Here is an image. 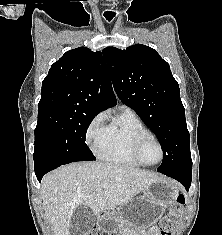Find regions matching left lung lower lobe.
Masks as SVG:
<instances>
[{
	"instance_id": "left-lung-lower-lobe-1",
	"label": "left lung lower lobe",
	"mask_w": 222,
	"mask_h": 235,
	"mask_svg": "<svg viewBox=\"0 0 222 235\" xmlns=\"http://www.w3.org/2000/svg\"><path fill=\"white\" fill-rule=\"evenodd\" d=\"M160 173L179 181L181 184L184 185L187 191L189 190L191 185L192 172H160Z\"/></svg>"
}]
</instances>
